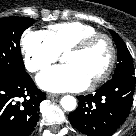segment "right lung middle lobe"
I'll return each mask as SVG.
<instances>
[{
    "instance_id": "dd1d6c3e",
    "label": "right lung middle lobe",
    "mask_w": 136,
    "mask_h": 136,
    "mask_svg": "<svg viewBox=\"0 0 136 136\" xmlns=\"http://www.w3.org/2000/svg\"><path fill=\"white\" fill-rule=\"evenodd\" d=\"M33 23V19L25 17L0 19V80L26 74L20 52V37Z\"/></svg>"
}]
</instances>
